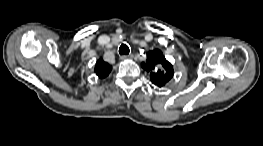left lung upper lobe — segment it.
Segmentation results:
<instances>
[{
  "mask_svg": "<svg viewBox=\"0 0 263 146\" xmlns=\"http://www.w3.org/2000/svg\"><path fill=\"white\" fill-rule=\"evenodd\" d=\"M142 68L150 72L152 83L158 87L168 83L174 74L173 66L165 59L159 49L148 52L147 60L142 63Z\"/></svg>",
  "mask_w": 263,
  "mask_h": 146,
  "instance_id": "left-lung-upper-lobe-1",
  "label": "left lung upper lobe"
}]
</instances>
